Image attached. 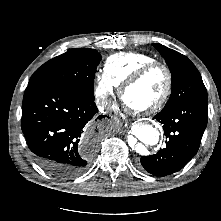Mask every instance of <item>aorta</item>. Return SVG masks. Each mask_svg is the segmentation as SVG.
I'll list each match as a JSON object with an SVG mask.
<instances>
[{"label": "aorta", "instance_id": "obj_1", "mask_svg": "<svg viewBox=\"0 0 221 221\" xmlns=\"http://www.w3.org/2000/svg\"><path fill=\"white\" fill-rule=\"evenodd\" d=\"M133 134L144 144L155 145L159 141V131L149 124H139L133 129ZM141 142H131V147L139 154H145L146 148Z\"/></svg>", "mask_w": 221, "mask_h": 221}]
</instances>
